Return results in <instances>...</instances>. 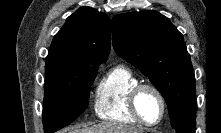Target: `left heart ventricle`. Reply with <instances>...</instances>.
I'll list each match as a JSON object with an SVG mask.
<instances>
[{
  "mask_svg": "<svg viewBox=\"0 0 221 133\" xmlns=\"http://www.w3.org/2000/svg\"><path fill=\"white\" fill-rule=\"evenodd\" d=\"M138 107L142 117L150 123L156 122L161 115V105L156 95L151 91H144L138 99Z\"/></svg>",
  "mask_w": 221,
  "mask_h": 133,
  "instance_id": "b2bd125f",
  "label": "left heart ventricle"
}]
</instances>
